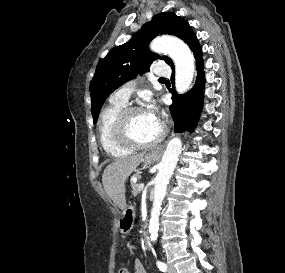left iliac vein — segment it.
Returning <instances> with one entry per match:
<instances>
[{
    "mask_svg": "<svg viewBox=\"0 0 285 273\" xmlns=\"http://www.w3.org/2000/svg\"><path fill=\"white\" fill-rule=\"evenodd\" d=\"M168 273H176V269L172 265H169Z\"/></svg>",
    "mask_w": 285,
    "mask_h": 273,
    "instance_id": "1",
    "label": "left iliac vein"
}]
</instances>
